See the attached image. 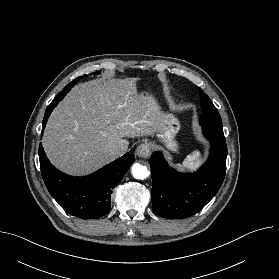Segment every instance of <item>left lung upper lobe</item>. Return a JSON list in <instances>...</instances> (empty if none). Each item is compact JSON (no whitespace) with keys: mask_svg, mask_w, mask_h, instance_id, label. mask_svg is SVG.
Masks as SVG:
<instances>
[{"mask_svg":"<svg viewBox=\"0 0 279 279\" xmlns=\"http://www.w3.org/2000/svg\"><path fill=\"white\" fill-rule=\"evenodd\" d=\"M201 106L203 109L200 119L202 130L225 139L221 117L206 94L201 96Z\"/></svg>","mask_w":279,"mask_h":279,"instance_id":"obj_1","label":"left lung upper lobe"}]
</instances>
